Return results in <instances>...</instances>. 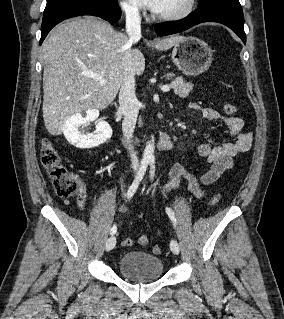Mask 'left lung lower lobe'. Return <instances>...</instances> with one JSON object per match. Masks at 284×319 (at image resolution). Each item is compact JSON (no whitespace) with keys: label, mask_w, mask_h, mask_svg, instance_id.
Returning a JSON list of instances; mask_svg holds the SVG:
<instances>
[{"label":"left lung lower lobe","mask_w":284,"mask_h":319,"mask_svg":"<svg viewBox=\"0 0 284 319\" xmlns=\"http://www.w3.org/2000/svg\"><path fill=\"white\" fill-rule=\"evenodd\" d=\"M203 22H217L228 26L246 44L244 16L238 0H222L199 7L184 19L157 24L155 31L159 36H166L182 32Z\"/></svg>","instance_id":"0a47b994"}]
</instances>
